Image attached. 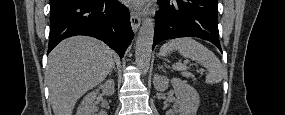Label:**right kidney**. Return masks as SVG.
<instances>
[{
    "label": "right kidney",
    "mask_w": 285,
    "mask_h": 115,
    "mask_svg": "<svg viewBox=\"0 0 285 115\" xmlns=\"http://www.w3.org/2000/svg\"><path fill=\"white\" fill-rule=\"evenodd\" d=\"M114 86H115L114 81L110 79L107 80L104 84H102L99 87V89H101L103 94L105 95H113ZM98 92L99 90L92 91L83 98L81 104L78 107L77 115H94V112L97 110L94 101L96 99ZM98 115H107V113L101 110Z\"/></svg>",
    "instance_id": "right-kidney-1"
}]
</instances>
